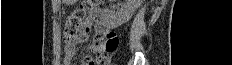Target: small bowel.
Here are the masks:
<instances>
[{
    "label": "small bowel",
    "instance_id": "1",
    "mask_svg": "<svg viewBox=\"0 0 232 65\" xmlns=\"http://www.w3.org/2000/svg\"><path fill=\"white\" fill-rule=\"evenodd\" d=\"M95 28L97 37H101L105 35L107 32L101 27L100 19H99V12L96 11L90 17H88L84 24L82 25L81 31L83 34H88ZM82 36H76L73 41L68 42L65 45L64 53H63V63L64 65H71L72 61L76 55V43L82 41ZM82 65H102V62H91L88 59L85 60Z\"/></svg>",
    "mask_w": 232,
    "mask_h": 65
}]
</instances>
